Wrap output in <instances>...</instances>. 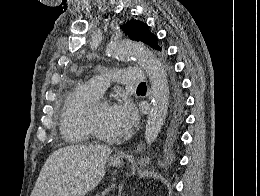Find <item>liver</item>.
Masks as SVG:
<instances>
[{"label": "liver", "mask_w": 260, "mask_h": 196, "mask_svg": "<svg viewBox=\"0 0 260 196\" xmlns=\"http://www.w3.org/2000/svg\"><path fill=\"white\" fill-rule=\"evenodd\" d=\"M109 146H67L46 160L31 196H86L105 176Z\"/></svg>", "instance_id": "1"}]
</instances>
